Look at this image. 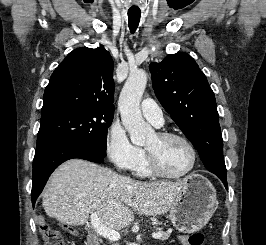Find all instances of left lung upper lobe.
Instances as JSON below:
<instances>
[{
  "label": "left lung upper lobe",
  "mask_w": 266,
  "mask_h": 245,
  "mask_svg": "<svg viewBox=\"0 0 266 245\" xmlns=\"http://www.w3.org/2000/svg\"><path fill=\"white\" fill-rule=\"evenodd\" d=\"M149 69L158 100L195 145L206 169L226 176L215 96L195 60L178 52Z\"/></svg>",
  "instance_id": "obj_1"
}]
</instances>
